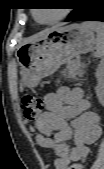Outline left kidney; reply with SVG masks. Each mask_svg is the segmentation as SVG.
Returning <instances> with one entry per match:
<instances>
[{
  "label": "left kidney",
  "instance_id": "left-kidney-1",
  "mask_svg": "<svg viewBox=\"0 0 104 169\" xmlns=\"http://www.w3.org/2000/svg\"><path fill=\"white\" fill-rule=\"evenodd\" d=\"M103 62H101L97 69L98 85L96 86V94L101 103L104 101V78H103Z\"/></svg>",
  "mask_w": 104,
  "mask_h": 169
}]
</instances>
